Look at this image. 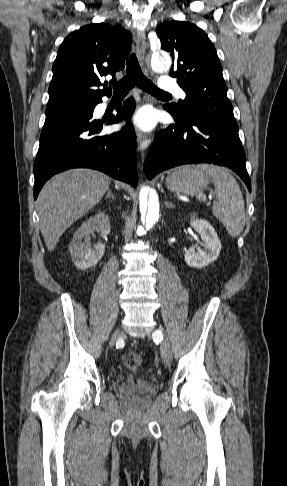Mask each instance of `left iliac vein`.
I'll list each match as a JSON object with an SVG mask.
<instances>
[{"label": "left iliac vein", "mask_w": 287, "mask_h": 486, "mask_svg": "<svg viewBox=\"0 0 287 486\" xmlns=\"http://www.w3.org/2000/svg\"><path fill=\"white\" fill-rule=\"evenodd\" d=\"M154 337L161 339V355L165 365H170L172 360L171 345L167 337L164 336L162 330L157 329L154 332Z\"/></svg>", "instance_id": "obj_1"}]
</instances>
